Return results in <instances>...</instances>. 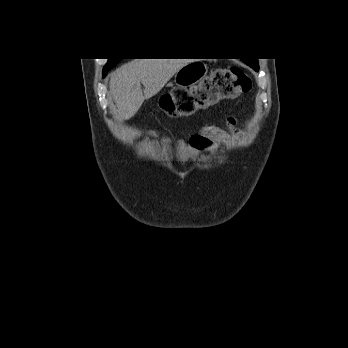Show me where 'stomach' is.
I'll list each match as a JSON object with an SVG mask.
<instances>
[{
  "label": "stomach",
  "instance_id": "1",
  "mask_svg": "<svg viewBox=\"0 0 348 348\" xmlns=\"http://www.w3.org/2000/svg\"><path fill=\"white\" fill-rule=\"evenodd\" d=\"M208 71L207 66L199 61L188 63L180 68L175 74V88L182 93V105L180 113L191 115L198 109H205L216 103V98H210L201 90H189L193 88Z\"/></svg>",
  "mask_w": 348,
  "mask_h": 348
}]
</instances>
